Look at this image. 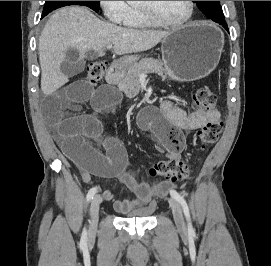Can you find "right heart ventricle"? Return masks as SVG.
I'll list each match as a JSON object with an SVG mask.
<instances>
[{
  "label": "right heart ventricle",
  "instance_id": "e07e8e85",
  "mask_svg": "<svg viewBox=\"0 0 271 266\" xmlns=\"http://www.w3.org/2000/svg\"><path fill=\"white\" fill-rule=\"evenodd\" d=\"M125 25L132 28H147L153 26L142 14L139 7H130Z\"/></svg>",
  "mask_w": 271,
  "mask_h": 266
}]
</instances>
